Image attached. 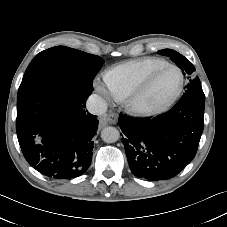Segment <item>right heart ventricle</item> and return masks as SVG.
<instances>
[{"label": "right heart ventricle", "mask_w": 227, "mask_h": 227, "mask_svg": "<svg viewBox=\"0 0 227 227\" xmlns=\"http://www.w3.org/2000/svg\"><path fill=\"white\" fill-rule=\"evenodd\" d=\"M161 58L145 57L119 64L104 75V81L115 98L126 97L156 69L167 65Z\"/></svg>", "instance_id": "1"}]
</instances>
